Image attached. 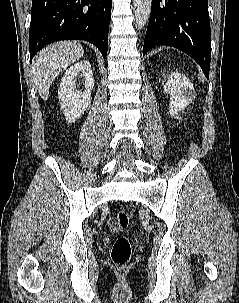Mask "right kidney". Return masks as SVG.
Wrapping results in <instances>:
<instances>
[{
	"mask_svg": "<svg viewBox=\"0 0 239 303\" xmlns=\"http://www.w3.org/2000/svg\"><path fill=\"white\" fill-rule=\"evenodd\" d=\"M79 74L84 78L83 92L76 89V78ZM94 84L92 68L87 60L75 63L65 72L58 89V98L68 123H74L85 113L91 104Z\"/></svg>",
	"mask_w": 239,
	"mask_h": 303,
	"instance_id": "right-kidney-1",
	"label": "right kidney"
}]
</instances>
